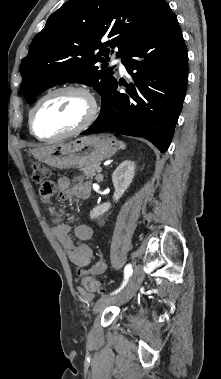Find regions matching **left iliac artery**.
<instances>
[{
	"label": "left iliac artery",
	"instance_id": "1",
	"mask_svg": "<svg viewBox=\"0 0 221 379\" xmlns=\"http://www.w3.org/2000/svg\"><path fill=\"white\" fill-rule=\"evenodd\" d=\"M132 265L131 264H127L124 268V281L121 285V287L119 289H117L116 291H114L113 293H111V295L113 294H117L118 292H120L124 286L127 284L128 282V279L130 278V276L132 275Z\"/></svg>",
	"mask_w": 221,
	"mask_h": 379
}]
</instances>
